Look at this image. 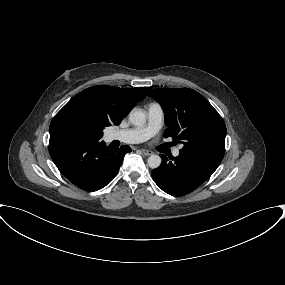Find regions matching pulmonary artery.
Segmentation results:
<instances>
[{"mask_svg": "<svg viewBox=\"0 0 285 285\" xmlns=\"http://www.w3.org/2000/svg\"><path fill=\"white\" fill-rule=\"evenodd\" d=\"M164 111L160 104L150 103L147 106V123L144 126L112 131L107 135L108 141H120L135 144L143 142L153 136L163 124ZM175 157L180 155V148L173 151Z\"/></svg>", "mask_w": 285, "mask_h": 285, "instance_id": "1", "label": "pulmonary artery"}]
</instances>
